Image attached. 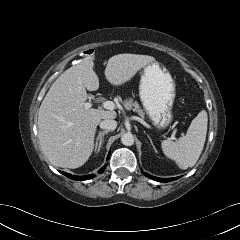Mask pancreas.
I'll return each mask as SVG.
<instances>
[{"label":"pancreas","instance_id":"cf45deb5","mask_svg":"<svg viewBox=\"0 0 240 240\" xmlns=\"http://www.w3.org/2000/svg\"><path fill=\"white\" fill-rule=\"evenodd\" d=\"M123 106L127 110H133L134 112H137L140 117L144 118L145 115L144 111L140 108L138 102L133 100V98H128L124 100Z\"/></svg>","mask_w":240,"mask_h":240}]
</instances>
